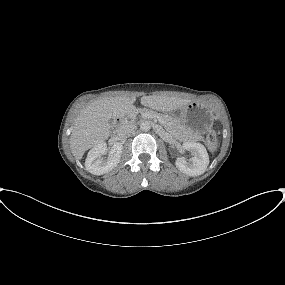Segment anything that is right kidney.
I'll list each match as a JSON object with an SVG mask.
<instances>
[{"mask_svg":"<svg viewBox=\"0 0 285 285\" xmlns=\"http://www.w3.org/2000/svg\"><path fill=\"white\" fill-rule=\"evenodd\" d=\"M123 146L121 143H115L107 159L102 156L106 154L107 144L98 143L89 152L85 161L86 170L94 175H102L111 171L120 162Z\"/></svg>","mask_w":285,"mask_h":285,"instance_id":"right-kidney-1","label":"right kidney"}]
</instances>
